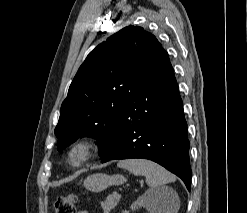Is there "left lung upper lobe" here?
Here are the masks:
<instances>
[{
  "instance_id": "obj_1",
  "label": "left lung upper lobe",
  "mask_w": 247,
  "mask_h": 213,
  "mask_svg": "<svg viewBox=\"0 0 247 213\" xmlns=\"http://www.w3.org/2000/svg\"><path fill=\"white\" fill-rule=\"evenodd\" d=\"M167 56L155 36L137 26L125 27L98 45L80 66L62 103L55 128L57 149L88 136L98 140L102 156L125 102L136 95L146 71Z\"/></svg>"
}]
</instances>
